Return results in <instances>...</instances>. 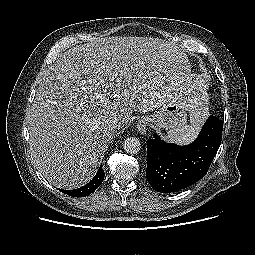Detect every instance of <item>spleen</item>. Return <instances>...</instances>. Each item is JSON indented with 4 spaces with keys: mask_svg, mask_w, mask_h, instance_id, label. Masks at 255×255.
Masks as SVG:
<instances>
[{
    "mask_svg": "<svg viewBox=\"0 0 255 255\" xmlns=\"http://www.w3.org/2000/svg\"><path fill=\"white\" fill-rule=\"evenodd\" d=\"M204 116L205 111L200 109L197 115L190 119L191 125H187L176 130H169L166 137L168 138V140L178 143L191 142L195 138L199 130V124L204 119Z\"/></svg>",
    "mask_w": 255,
    "mask_h": 255,
    "instance_id": "3e777b00",
    "label": "spleen"
}]
</instances>
